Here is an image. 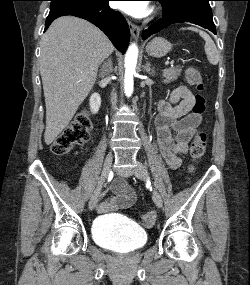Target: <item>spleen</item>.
<instances>
[{"label": "spleen", "mask_w": 250, "mask_h": 285, "mask_svg": "<svg viewBox=\"0 0 250 285\" xmlns=\"http://www.w3.org/2000/svg\"><path fill=\"white\" fill-rule=\"evenodd\" d=\"M189 30H192L194 32H198L199 35L205 40V53L207 55V59L209 61V63H211L212 65H217L219 62V52L216 48V45L214 43V41L211 39V37L205 33L204 31L199 30L198 28L195 27H189L187 28Z\"/></svg>", "instance_id": "1"}]
</instances>
